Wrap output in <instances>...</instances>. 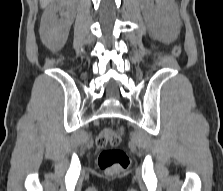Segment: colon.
Returning <instances> with one entry per match:
<instances>
[{
	"label": "colon",
	"mask_w": 223,
	"mask_h": 191,
	"mask_svg": "<svg viewBox=\"0 0 223 191\" xmlns=\"http://www.w3.org/2000/svg\"><path fill=\"white\" fill-rule=\"evenodd\" d=\"M180 49L174 50V55L178 56ZM121 130H105L96 139V145L101 148L98 156V165L102 171H125L128 169L130 161L127 153L118 148L122 141Z\"/></svg>",
	"instance_id": "1"
}]
</instances>
